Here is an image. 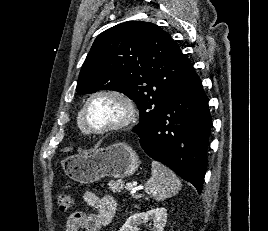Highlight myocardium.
Wrapping results in <instances>:
<instances>
[{
	"mask_svg": "<svg viewBox=\"0 0 268 231\" xmlns=\"http://www.w3.org/2000/svg\"><path fill=\"white\" fill-rule=\"evenodd\" d=\"M98 97H111L117 100L123 107L122 118L115 123L109 124L101 128L92 127L87 119V109L90 103ZM80 114L82 124L87 133L92 135H106L123 130L131 126L137 118L138 110L133 99L127 94L116 89H100L91 93L88 96V98L85 100V103L83 104Z\"/></svg>",
	"mask_w": 268,
	"mask_h": 231,
	"instance_id": "obj_1",
	"label": "myocardium"
}]
</instances>
